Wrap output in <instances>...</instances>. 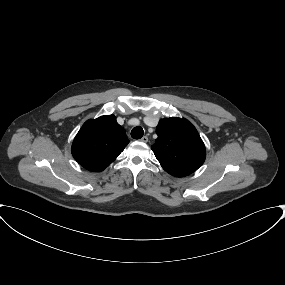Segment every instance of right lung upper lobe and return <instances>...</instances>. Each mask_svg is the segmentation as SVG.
Returning <instances> with one entry per match:
<instances>
[{"instance_id": "cb5924a9", "label": "right lung upper lobe", "mask_w": 285, "mask_h": 285, "mask_svg": "<svg viewBox=\"0 0 285 285\" xmlns=\"http://www.w3.org/2000/svg\"><path fill=\"white\" fill-rule=\"evenodd\" d=\"M129 143L114 115L101 116L83 124L72 144L74 159L89 171H103Z\"/></svg>"}]
</instances>
